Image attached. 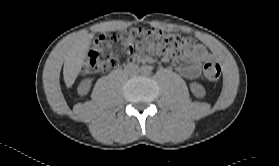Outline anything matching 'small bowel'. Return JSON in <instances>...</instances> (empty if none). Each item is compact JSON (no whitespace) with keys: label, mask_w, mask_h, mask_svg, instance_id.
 <instances>
[{"label":"small bowel","mask_w":279,"mask_h":166,"mask_svg":"<svg viewBox=\"0 0 279 166\" xmlns=\"http://www.w3.org/2000/svg\"><path fill=\"white\" fill-rule=\"evenodd\" d=\"M211 55L202 46H196L192 51L182 56L183 61L186 65L178 67V71L186 78H196L200 73L201 64L210 59ZM167 60V57H164Z\"/></svg>","instance_id":"1"}]
</instances>
